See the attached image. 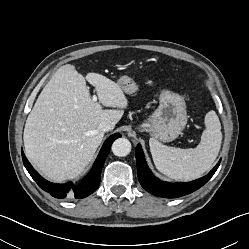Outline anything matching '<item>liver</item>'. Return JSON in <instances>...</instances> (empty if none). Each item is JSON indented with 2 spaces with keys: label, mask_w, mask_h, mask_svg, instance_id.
<instances>
[{
  "label": "liver",
  "mask_w": 249,
  "mask_h": 249,
  "mask_svg": "<svg viewBox=\"0 0 249 249\" xmlns=\"http://www.w3.org/2000/svg\"><path fill=\"white\" fill-rule=\"evenodd\" d=\"M86 81L95 87L99 102L91 100ZM128 106L121 86L98 73L85 77L70 64L61 66L41 91L24 128L28 159L49 180L78 176L102 142L101 122L113 128Z\"/></svg>",
  "instance_id": "6515ba94"
}]
</instances>
